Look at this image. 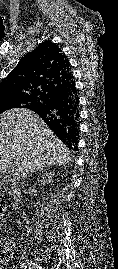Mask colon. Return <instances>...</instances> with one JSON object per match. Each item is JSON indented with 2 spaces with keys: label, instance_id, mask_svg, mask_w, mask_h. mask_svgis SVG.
<instances>
[{
  "label": "colon",
  "instance_id": "1",
  "mask_svg": "<svg viewBox=\"0 0 118 269\" xmlns=\"http://www.w3.org/2000/svg\"><path fill=\"white\" fill-rule=\"evenodd\" d=\"M3 206H4L3 200L0 198V212H2ZM0 253L2 257H7L9 255V253L4 250H0Z\"/></svg>",
  "mask_w": 118,
  "mask_h": 269
}]
</instances>
